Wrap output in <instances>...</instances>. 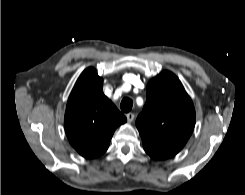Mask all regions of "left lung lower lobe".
I'll return each mask as SVG.
<instances>
[{
  "label": "left lung lower lobe",
  "mask_w": 245,
  "mask_h": 195,
  "mask_svg": "<svg viewBox=\"0 0 245 195\" xmlns=\"http://www.w3.org/2000/svg\"><path fill=\"white\" fill-rule=\"evenodd\" d=\"M143 147H144V150L146 151L147 154H149L151 157H153L154 159H157V160H164V159H168V158L173 156L170 154H164L161 152L151 150L150 148H148L144 145H143Z\"/></svg>",
  "instance_id": "left-lung-lower-lobe-1"
}]
</instances>
